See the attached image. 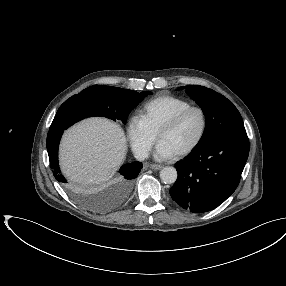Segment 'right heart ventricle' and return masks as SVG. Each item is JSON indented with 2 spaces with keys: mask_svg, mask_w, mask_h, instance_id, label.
Segmentation results:
<instances>
[{
  "mask_svg": "<svg viewBox=\"0 0 286 286\" xmlns=\"http://www.w3.org/2000/svg\"><path fill=\"white\" fill-rule=\"evenodd\" d=\"M191 105V102L183 98L170 95L159 96L144 103L141 117L148 127L157 134L168 119Z\"/></svg>",
  "mask_w": 286,
  "mask_h": 286,
  "instance_id": "1",
  "label": "right heart ventricle"
}]
</instances>
